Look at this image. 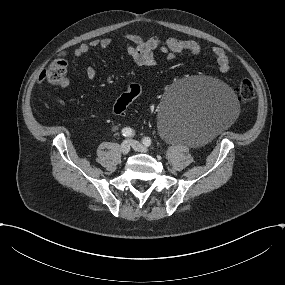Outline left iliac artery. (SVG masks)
<instances>
[{"label":"left iliac artery","mask_w":285,"mask_h":285,"mask_svg":"<svg viewBox=\"0 0 285 285\" xmlns=\"http://www.w3.org/2000/svg\"><path fill=\"white\" fill-rule=\"evenodd\" d=\"M143 144H144L146 147H149V146H151L152 141H151V139H150L149 137H146V138L143 139Z\"/></svg>","instance_id":"1"}]
</instances>
